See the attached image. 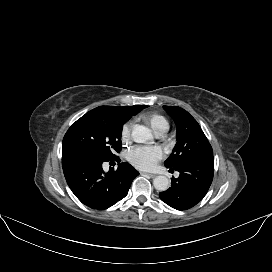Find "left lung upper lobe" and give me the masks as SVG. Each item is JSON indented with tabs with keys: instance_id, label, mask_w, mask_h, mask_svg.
<instances>
[{
	"instance_id": "obj_1",
	"label": "left lung upper lobe",
	"mask_w": 272,
	"mask_h": 272,
	"mask_svg": "<svg viewBox=\"0 0 272 272\" xmlns=\"http://www.w3.org/2000/svg\"><path fill=\"white\" fill-rule=\"evenodd\" d=\"M163 107L173 118L177 128V145L164 163L167 168L177 169L188 161L213 156L208 139L187 111L177 106Z\"/></svg>"
}]
</instances>
